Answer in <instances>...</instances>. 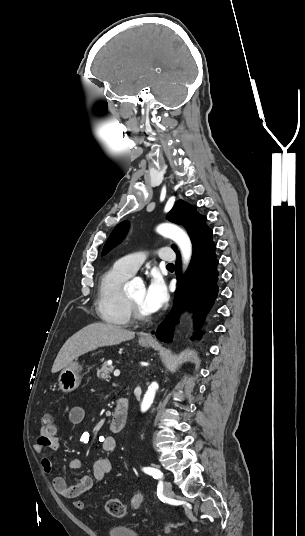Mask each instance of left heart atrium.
<instances>
[{
  "instance_id": "39dd6f15",
  "label": "left heart atrium",
  "mask_w": 305,
  "mask_h": 536,
  "mask_svg": "<svg viewBox=\"0 0 305 536\" xmlns=\"http://www.w3.org/2000/svg\"><path fill=\"white\" fill-rule=\"evenodd\" d=\"M165 299V289L162 279L155 273L150 275L144 289L143 307L149 313L157 311Z\"/></svg>"
}]
</instances>
